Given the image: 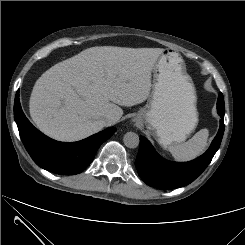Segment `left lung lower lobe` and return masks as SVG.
<instances>
[{"label": "left lung lower lobe", "instance_id": "obj_1", "mask_svg": "<svg viewBox=\"0 0 245 245\" xmlns=\"http://www.w3.org/2000/svg\"><path fill=\"white\" fill-rule=\"evenodd\" d=\"M217 112L220 119L219 131L209 149L200 157L190 162H170L160 157L144 137L140 138V147L135 162L141 179L149 186L170 190L190 184L209 165L220 147L224 133V98L222 93L217 100Z\"/></svg>", "mask_w": 245, "mask_h": 245}]
</instances>
